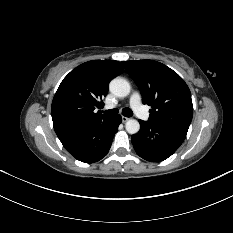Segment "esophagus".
Returning <instances> with one entry per match:
<instances>
[{"label":"esophagus","instance_id":"1","mask_svg":"<svg viewBox=\"0 0 233 233\" xmlns=\"http://www.w3.org/2000/svg\"><path fill=\"white\" fill-rule=\"evenodd\" d=\"M128 120H129L128 117L122 116V122H123V123L127 122Z\"/></svg>","mask_w":233,"mask_h":233}]
</instances>
